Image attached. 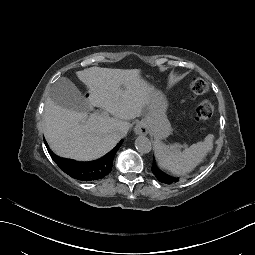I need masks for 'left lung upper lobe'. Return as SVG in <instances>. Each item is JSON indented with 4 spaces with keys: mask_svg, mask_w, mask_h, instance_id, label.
Returning <instances> with one entry per match:
<instances>
[{
    "mask_svg": "<svg viewBox=\"0 0 255 255\" xmlns=\"http://www.w3.org/2000/svg\"><path fill=\"white\" fill-rule=\"evenodd\" d=\"M153 164H154V162H153ZM156 169L158 170V172L159 173H161L162 171H160L157 167H156ZM168 177H170V176H168ZM159 181H161V179H158ZM177 180H175V177H174V182H176Z\"/></svg>",
    "mask_w": 255,
    "mask_h": 255,
    "instance_id": "1",
    "label": "left lung upper lobe"
}]
</instances>
